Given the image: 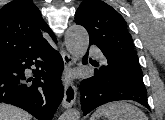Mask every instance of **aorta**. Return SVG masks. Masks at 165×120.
I'll list each match as a JSON object with an SVG mask.
<instances>
[{
  "mask_svg": "<svg viewBox=\"0 0 165 120\" xmlns=\"http://www.w3.org/2000/svg\"><path fill=\"white\" fill-rule=\"evenodd\" d=\"M65 44L68 52L75 58H82L89 45V35L80 25H72L66 31ZM80 113L77 109L67 110L59 120H79Z\"/></svg>",
  "mask_w": 165,
  "mask_h": 120,
  "instance_id": "obj_1",
  "label": "aorta"
}]
</instances>
